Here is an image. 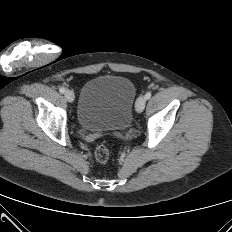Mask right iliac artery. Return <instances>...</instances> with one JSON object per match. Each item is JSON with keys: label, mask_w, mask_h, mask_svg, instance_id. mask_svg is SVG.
Here are the masks:
<instances>
[{"label": "right iliac artery", "mask_w": 232, "mask_h": 232, "mask_svg": "<svg viewBox=\"0 0 232 232\" xmlns=\"http://www.w3.org/2000/svg\"><path fill=\"white\" fill-rule=\"evenodd\" d=\"M59 91H60V93H64L65 92V88H63V87H61L60 89H59Z\"/></svg>", "instance_id": "obj_1"}]
</instances>
